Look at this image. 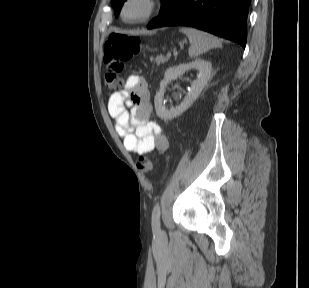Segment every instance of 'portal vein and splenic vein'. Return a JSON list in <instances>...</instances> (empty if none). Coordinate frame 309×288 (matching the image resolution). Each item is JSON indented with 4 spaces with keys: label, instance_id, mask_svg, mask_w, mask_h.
Masks as SVG:
<instances>
[{
    "label": "portal vein and splenic vein",
    "instance_id": "18ae733b",
    "mask_svg": "<svg viewBox=\"0 0 309 288\" xmlns=\"http://www.w3.org/2000/svg\"><path fill=\"white\" fill-rule=\"evenodd\" d=\"M171 55H172V53L169 51V52H167V57L168 58H170L171 57Z\"/></svg>",
    "mask_w": 309,
    "mask_h": 288
}]
</instances>
